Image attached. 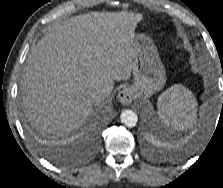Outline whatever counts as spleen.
<instances>
[{
    "label": "spleen",
    "instance_id": "obj_1",
    "mask_svg": "<svg viewBox=\"0 0 223 188\" xmlns=\"http://www.w3.org/2000/svg\"><path fill=\"white\" fill-rule=\"evenodd\" d=\"M157 105L162 122L175 129L190 128L196 120V98L182 85H174L163 92Z\"/></svg>",
    "mask_w": 223,
    "mask_h": 188
}]
</instances>
